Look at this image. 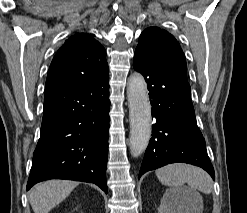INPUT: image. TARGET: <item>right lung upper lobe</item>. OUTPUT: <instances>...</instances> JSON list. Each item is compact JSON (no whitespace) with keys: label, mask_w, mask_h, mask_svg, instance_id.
Segmentation results:
<instances>
[{"label":"right lung upper lobe","mask_w":247,"mask_h":213,"mask_svg":"<svg viewBox=\"0 0 247 213\" xmlns=\"http://www.w3.org/2000/svg\"><path fill=\"white\" fill-rule=\"evenodd\" d=\"M109 73L104 47L92 34L68 38L54 56L47 75L45 93Z\"/></svg>","instance_id":"obj_1"}]
</instances>
